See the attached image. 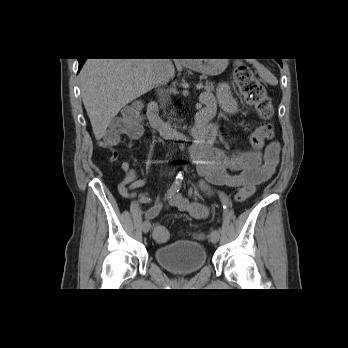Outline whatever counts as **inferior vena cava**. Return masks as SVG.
<instances>
[{"label": "inferior vena cava", "instance_id": "1", "mask_svg": "<svg viewBox=\"0 0 348 348\" xmlns=\"http://www.w3.org/2000/svg\"><path fill=\"white\" fill-rule=\"evenodd\" d=\"M168 63L169 59H154L155 87L159 95V102L163 108L166 107V102L168 101L165 88H163L168 82L165 76Z\"/></svg>", "mask_w": 348, "mask_h": 348}]
</instances>
